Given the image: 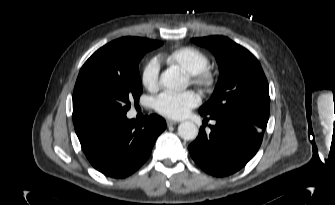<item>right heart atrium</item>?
<instances>
[{
    "mask_svg": "<svg viewBox=\"0 0 335 205\" xmlns=\"http://www.w3.org/2000/svg\"><path fill=\"white\" fill-rule=\"evenodd\" d=\"M160 69V62L157 58L150 59L144 66L141 74V81L149 91H155L158 89Z\"/></svg>",
    "mask_w": 335,
    "mask_h": 205,
    "instance_id": "right-heart-atrium-1",
    "label": "right heart atrium"
}]
</instances>
